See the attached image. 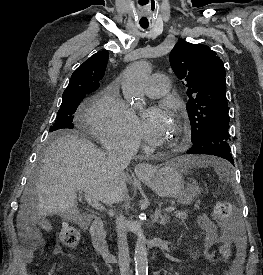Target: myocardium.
<instances>
[{
  "instance_id": "f54148a6",
  "label": "myocardium",
  "mask_w": 263,
  "mask_h": 275,
  "mask_svg": "<svg viewBox=\"0 0 263 275\" xmlns=\"http://www.w3.org/2000/svg\"><path fill=\"white\" fill-rule=\"evenodd\" d=\"M175 127H176V130H177V135H176V138L174 139L173 142L166 145V148L168 150L180 149L185 145V143L188 140V128H187V126L184 123L180 122V121H176L175 122Z\"/></svg>"
}]
</instances>
